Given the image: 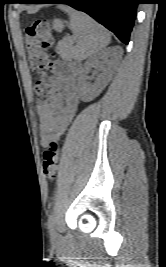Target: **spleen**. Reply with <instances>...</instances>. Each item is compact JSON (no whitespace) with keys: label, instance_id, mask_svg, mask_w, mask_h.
I'll return each instance as SVG.
<instances>
[{"label":"spleen","instance_id":"obj_1","mask_svg":"<svg viewBox=\"0 0 166 267\" xmlns=\"http://www.w3.org/2000/svg\"><path fill=\"white\" fill-rule=\"evenodd\" d=\"M70 17V26L76 37L71 56L84 60L99 53L110 43V34L89 15L71 7H61Z\"/></svg>","mask_w":166,"mask_h":267}]
</instances>
